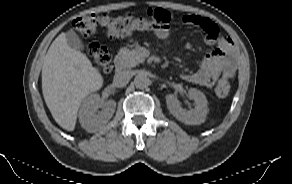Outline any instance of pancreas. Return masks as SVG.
Returning a JSON list of instances; mask_svg holds the SVG:
<instances>
[{"label":"pancreas","instance_id":"cf45deb5","mask_svg":"<svg viewBox=\"0 0 292 184\" xmlns=\"http://www.w3.org/2000/svg\"><path fill=\"white\" fill-rule=\"evenodd\" d=\"M118 58L124 68L135 67L144 61L142 51L139 49L129 50L127 48H121L118 52Z\"/></svg>","mask_w":292,"mask_h":184}]
</instances>
